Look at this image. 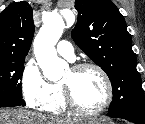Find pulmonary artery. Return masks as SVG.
<instances>
[{
    "label": "pulmonary artery",
    "instance_id": "e3ab8cb5",
    "mask_svg": "<svg viewBox=\"0 0 145 124\" xmlns=\"http://www.w3.org/2000/svg\"><path fill=\"white\" fill-rule=\"evenodd\" d=\"M57 52L60 56L72 61L74 60V48L72 44L66 40H62L58 43L57 47Z\"/></svg>",
    "mask_w": 145,
    "mask_h": 124
}]
</instances>
